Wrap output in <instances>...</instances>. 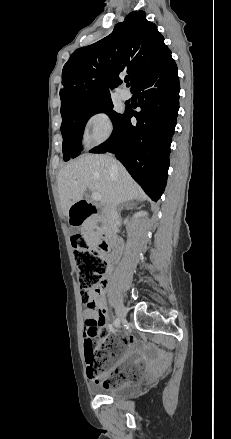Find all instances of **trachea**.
<instances>
[{
    "label": "trachea",
    "mask_w": 231,
    "mask_h": 439,
    "mask_svg": "<svg viewBox=\"0 0 231 439\" xmlns=\"http://www.w3.org/2000/svg\"><path fill=\"white\" fill-rule=\"evenodd\" d=\"M129 80H130V78H129V77H126V78H125V82H127V83H128V82H129Z\"/></svg>",
    "instance_id": "obj_1"
}]
</instances>
